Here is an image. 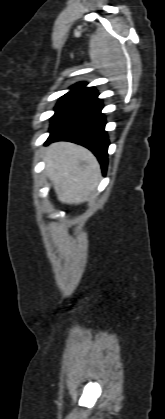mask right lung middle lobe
Here are the masks:
<instances>
[{
    "label": "right lung middle lobe",
    "instance_id": "1",
    "mask_svg": "<svg viewBox=\"0 0 165 419\" xmlns=\"http://www.w3.org/2000/svg\"><path fill=\"white\" fill-rule=\"evenodd\" d=\"M82 98L83 96L80 94L69 92L61 97V99L55 107V111L58 112Z\"/></svg>",
    "mask_w": 165,
    "mask_h": 419
}]
</instances>
